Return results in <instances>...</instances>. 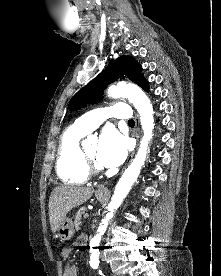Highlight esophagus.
<instances>
[{
	"label": "esophagus",
	"instance_id": "obj_1",
	"mask_svg": "<svg viewBox=\"0 0 221 276\" xmlns=\"http://www.w3.org/2000/svg\"><path fill=\"white\" fill-rule=\"evenodd\" d=\"M135 137H136V140H137V146H138V141H139V127H138V123L136 122V129H135ZM137 146L135 148V150L131 153L130 157H129V162L132 160L135 152H136V149H137ZM99 192L101 193H108V189L107 188H100L98 190Z\"/></svg>",
	"mask_w": 221,
	"mask_h": 276
}]
</instances>
